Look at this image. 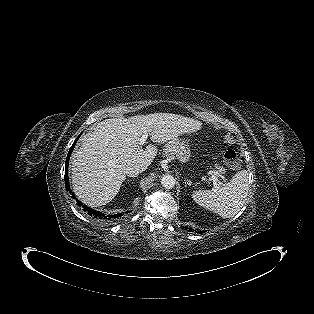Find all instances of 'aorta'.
<instances>
[{
  "label": "aorta",
  "mask_w": 314,
  "mask_h": 314,
  "mask_svg": "<svg viewBox=\"0 0 314 314\" xmlns=\"http://www.w3.org/2000/svg\"><path fill=\"white\" fill-rule=\"evenodd\" d=\"M161 184L166 189H172L175 186V178L171 174H165L161 178Z\"/></svg>",
  "instance_id": "762f6f07"
}]
</instances>
